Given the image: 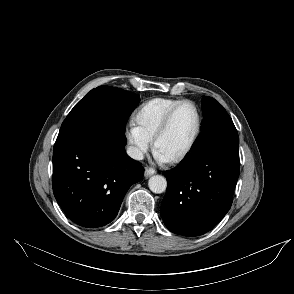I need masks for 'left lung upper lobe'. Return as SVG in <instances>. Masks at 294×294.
<instances>
[{"instance_id":"1","label":"left lung upper lobe","mask_w":294,"mask_h":294,"mask_svg":"<svg viewBox=\"0 0 294 294\" xmlns=\"http://www.w3.org/2000/svg\"><path fill=\"white\" fill-rule=\"evenodd\" d=\"M202 112L204 118L202 133L223 127H235L223 106L211 97L203 98Z\"/></svg>"}]
</instances>
